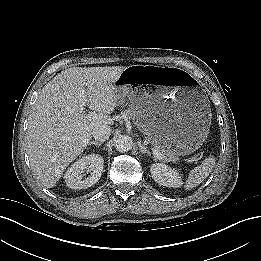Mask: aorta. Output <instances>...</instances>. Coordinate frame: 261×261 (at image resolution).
I'll return each mask as SVG.
<instances>
[{"label":"aorta","mask_w":261,"mask_h":261,"mask_svg":"<svg viewBox=\"0 0 261 261\" xmlns=\"http://www.w3.org/2000/svg\"><path fill=\"white\" fill-rule=\"evenodd\" d=\"M132 138L128 135H122L115 141L116 150L123 153L128 152L132 148Z\"/></svg>","instance_id":"762f6f07"}]
</instances>
